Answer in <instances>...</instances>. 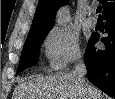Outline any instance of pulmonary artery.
Wrapping results in <instances>:
<instances>
[{
    "instance_id": "obj_1",
    "label": "pulmonary artery",
    "mask_w": 115,
    "mask_h": 99,
    "mask_svg": "<svg viewBox=\"0 0 115 99\" xmlns=\"http://www.w3.org/2000/svg\"><path fill=\"white\" fill-rule=\"evenodd\" d=\"M88 24H89V26H91V27H95V26L97 25V18L94 17V16H90V17L88 18Z\"/></svg>"
}]
</instances>
